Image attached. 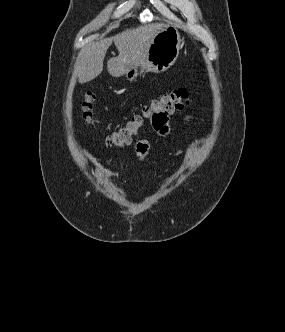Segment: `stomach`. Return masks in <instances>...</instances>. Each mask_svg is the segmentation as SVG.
Returning a JSON list of instances; mask_svg holds the SVG:
<instances>
[{"label":"stomach","instance_id":"0dacf381","mask_svg":"<svg viewBox=\"0 0 285 332\" xmlns=\"http://www.w3.org/2000/svg\"><path fill=\"white\" fill-rule=\"evenodd\" d=\"M182 47L179 31L175 27L167 26L153 39L148 55L141 65L142 71L161 73L169 69L177 60ZM138 76L137 67L126 73V79L133 81Z\"/></svg>","mask_w":285,"mask_h":332}]
</instances>
